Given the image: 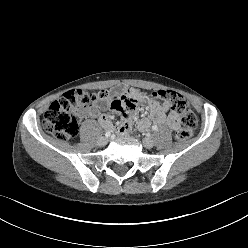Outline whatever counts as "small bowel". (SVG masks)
Wrapping results in <instances>:
<instances>
[{
  "instance_id": "small-bowel-1",
  "label": "small bowel",
  "mask_w": 248,
  "mask_h": 248,
  "mask_svg": "<svg viewBox=\"0 0 248 248\" xmlns=\"http://www.w3.org/2000/svg\"><path fill=\"white\" fill-rule=\"evenodd\" d=\"M142 94L135 89H127L126 84L119 83L114 87L108 96L91 108L84 110L81 115L89 118H98L101 126L107 130H113L114 125L107 114H101V111L108 107L115 113L122 115V122L118 126L119 132H125L132 119L137 116V105ZM153 123L167 124L172 130L178 131L181 128L180 117L169 111V105L166 102L162 104L155 101L150 103V117L142 118L138 121V128L146 131Z\"/></svg>"
}]
</instances>
